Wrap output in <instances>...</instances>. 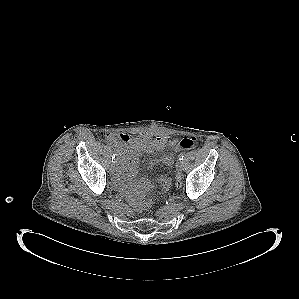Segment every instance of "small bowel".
Returning a JSON list of instances; mask_svg holds the SVG:
<instances>
[{"label": "small bowel", "instance_id": "obj_1", "mask_svg": "<svg viewBox=\"0 0 299 299\" xmlns=\"http://www.w3.org/2000/svg\"><path fill=\"white\" fill-rule=\"evenodd\" d=\"M107 140L115 147L118 154V172L117 180L126 187L137 188L141 192L148 191L152 188L151 182L147 178H143L138 182H133L132 178L137 174L139 166V157L142 153H153L164 150L167 146H173L174 140H170L166 136H150L141 135L130 137L123 133H110ZM162 164L171 167L174 164V156L167 153L159 158L149 162V167ZM159 184L163 190H167L171 185V180L167 177H161Z\"/></svg>", "mask_w": 299, "mask_h": 299}]
</instances>
